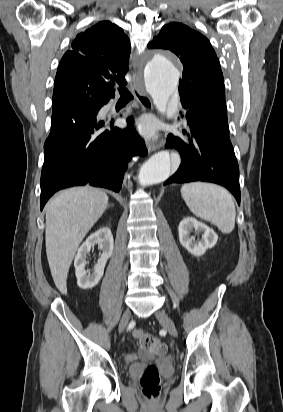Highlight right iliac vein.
<instances>
[{
    "label": "right iliac vein",
    "instance_id": "1",
    "mask_svg": "<svg viewBox=\"0 0 283 412\" xmlns=\"http://www.w3.org/2000/svg\"><path fill=\"white\" fill-rule=\"evenodd\" d=\"M130 315H131V313H130L129 310H126L124 312V314L121 318L120 324H119V332L120 333L123 332V330L126 328L128 322H129V319H130Z\"/></svg>",
    "mask_w": 283,
    "mask_h": 412
}]
</instances>
